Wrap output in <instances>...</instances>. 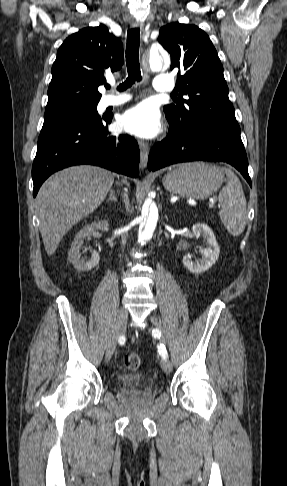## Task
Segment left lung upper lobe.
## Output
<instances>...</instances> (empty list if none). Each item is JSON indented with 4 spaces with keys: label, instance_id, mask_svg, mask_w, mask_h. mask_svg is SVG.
<instances>
[{
    "label": "left lung upper lobe",
    "instance_id": "1",
    "mask_svg": "<svg viewBox=\"0 0 287 486\" xmlns=\"http://www.w3.org/2000/svg\"><path fill=\"white\" fill-rule=\"evenodd\" d=\"M158 41L172 57L171 70H179L181 101L164 106L167 119L179 126H209L240 135L223 66L208 35L195 25L172 22L160 29Z\"/></svg>",
    "mask_w": 287,
    "mask_h": 486
}]
</instances>
